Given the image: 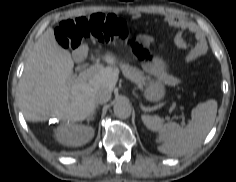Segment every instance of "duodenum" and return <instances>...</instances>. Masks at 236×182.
<instances>
[{
	"mask_svg": "<svg viewBox=\"0 0 236 182\" xmlns=\"http://www.w3.org/2000/svg\"><path fill=\"white\" fill-rule=\"evenodd\" d=\"M85 54V52L81 51L78 53V57H82Z\"/></svg>",
	"mask_w": 236,
	"mask_h": 182,
	"instance_id": "duodenum-1",
	"label": "duodenum"
}]
</instances>
